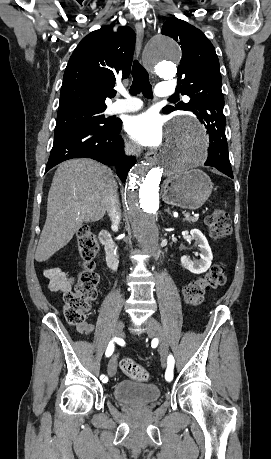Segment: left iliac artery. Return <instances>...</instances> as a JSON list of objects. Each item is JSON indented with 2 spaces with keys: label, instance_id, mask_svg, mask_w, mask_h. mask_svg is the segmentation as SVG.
<instances>
[{
  "label": "left iliac artery",
  "instance_id": "1",
  "mask_svg": "<svg viewBox=\"0 0 271 459\" xmlns=\"http://www.w3.org/2000/svg\"><path fill=\"white\" fill-rule=\"evenodd\" d=\"M174 357L172 355L168 356V365H167V371L165 372V377H166V382H174V377H173V369H174Z\"/></svg>",
  "mask_w": 271,
  "mask_h": 459
}]
</instances>
